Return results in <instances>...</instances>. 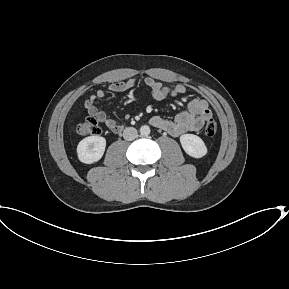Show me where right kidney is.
<instances>
[{
    "label": "right kidney",
    "instance_id": "obj_1",
    "mask_svg": "<svg viewBox=\"0 0 289 289\" xmlns=\"http://www.w3.org/2000/svg\"><path fill=\"white\" fill-rule=\"evenodd\" d=\"M106 139L101 136H89L81 140L77 146L78 159L85 164L99 161L105 151Z\"/></svg>",
    "mask_w": 289,
    "mask_h": 289
}]
</instances>
